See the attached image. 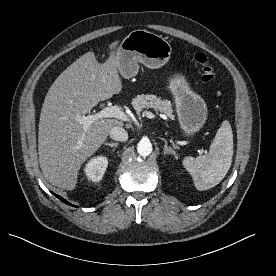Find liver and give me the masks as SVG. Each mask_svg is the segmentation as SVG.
Segmentation results:
<instances>
[{"label":"liver","instance_id":"liver-1","mask_svg":"<svg viewBox=\"0 0 276 276\" xmlns=\"http://www.w3.org/2000/svg\"><path fill=\"white\" fill-rule=\"evenodd\" d=\"M119 41L109 45L110 57L100 64L94 52H87L65 69L53 82L44 99L38 130L39 164L46 180L65 190H73L82 164L107 139L118 119L94 121L87 130L77 119L100 101L119 94L116 51Z\"/></svg>","mask_w":276,"mask_h":276}]
</instances>
